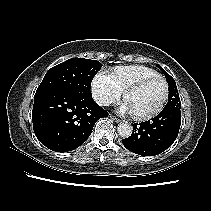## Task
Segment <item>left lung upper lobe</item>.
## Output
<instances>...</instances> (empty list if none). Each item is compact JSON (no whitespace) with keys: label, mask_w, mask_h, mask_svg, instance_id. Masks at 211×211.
Listing matches in <instances>:
<instances>
[{"label":"left lung upper lobe","mask_w":211,"mask_h":211,"mask_svg":"<svg viewBox=\"0 0 211 211\" xmlns=\"http://www.w3.org/2000/svg\"><path fill=\"white\" fill-rule=\"evenodd\" d=\"M159 68L164 73L169 84V97H168V103L165 106V108H172V107L181 108V102H180L178 90H177L174 79L166 71H164L160 66Z\"/></svg>","instance_id":"obj_1"}]
</instances>
